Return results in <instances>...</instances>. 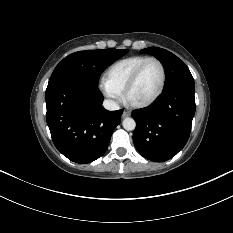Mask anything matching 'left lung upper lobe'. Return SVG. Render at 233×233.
<instances>
[{
  "mask_svg": "<svg viewBox=\"0 0 233 233\" xmlns=\"http://www.w3.org/2000/svg\"><path fill=\"white\" fill-rule=\"evenodd\" d=\"M141 52L154 55L163 64L167 76L164 91L178 86H194L188 67L171 52L157 47L145 48Z\"/></svg>",
  "mask_w": 233,
  "mask_h": 233,
  "instance_id": "5c2ea615",
  "label": "left lung upper lobe"
}]
</instances>
